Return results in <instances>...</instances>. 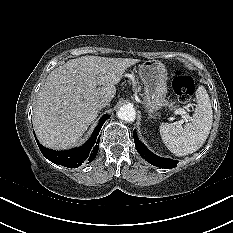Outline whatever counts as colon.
<instances>
[{
    "label": "colon",
    "mask_w": 233,
    "mask_h": 233,
    "mask_svg": "<svg viewBox=\"0 0 233 233\" xmlns=\"http://www.w3.org/2000/svg\"><path fill=\"white\" fill-rule=\"evenodd\" d=\"M173 89L182 103H186L191 100L195 91L194 79L183 71H176L173 79Z\"/></svg>",
    "instance_id": "1"
}]
</instances>
